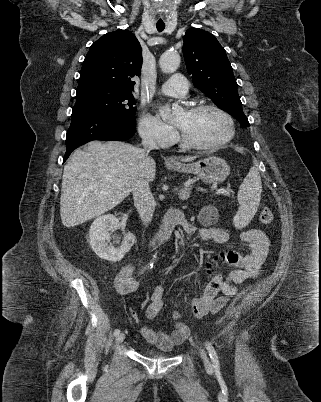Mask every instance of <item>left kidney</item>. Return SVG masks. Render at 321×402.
Returning a JSON list of instances; mask_svg holds the SVG:
<instances>
[{"label":"left kidney","mask_w":321,"mask_h":402,"mask_svg":"<svg viewBox=\"0 0 321 402\" xmlns=\"http://www.w3.org/2000/svg\"><path fill=\"white\" fill-rule=\"evenodd\" d=\"M219 217L218 211L216 208L211 206H207L203 208L199 213V220L203 223L212 224L217 221Z\"/></svg>","instance_id":"left-kidney-1"}]
</instances>
